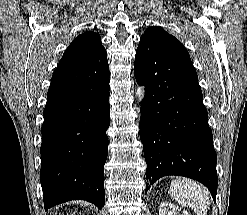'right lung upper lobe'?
Listing matches in <instances>:
<instances>
[{"instance_id": "obj_1", "label": "right lung upper lobe", "mask_w": 247, "mask_h": 215, "mask_svg": "<svg viewBox=\"0 0 247 215\" xmlns=\"http://www.w3.org/2000/svg\"><path fill=\"white\" fill-rule=\"evenodd\" d=\"M105 51L100 36L88 31L77 36L69 45L61 60H88Z\"/></svg>"}]
</instances>
